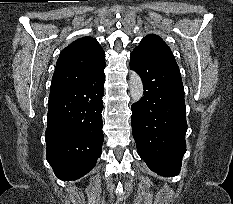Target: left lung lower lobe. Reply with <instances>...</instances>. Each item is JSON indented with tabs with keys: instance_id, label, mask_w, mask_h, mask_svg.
Masks as SVG:
<instances>
[{
	"instance_id": "0a47b994",
	"label": "left lung lower lobe",
	"mask_w": 233,
	"mask_h": 204,
	"mask_svg": "<svg viewBox=\"0 0 233 204\" xmlns=\"http://www.w3.org/2000/svg\"><path fill=\"white\" fill-rule=\"evenodd\" d=\"M130 68L141 77L144 96L132 105V133L139 156L162 175L175 176L186 152L184 88L179 67L134 49Z\"/></svg>"
}]
</instances>
